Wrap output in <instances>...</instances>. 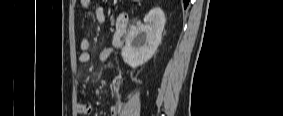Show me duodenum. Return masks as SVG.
I'll return each instance as SVG.
<instances>
[{"instance_id": "obj_1", "label": "duodenum", "mask_w": 283, "mask_h": 116, "mask_svg": "<svg viewBox=\"0 0 283 116\" xmlns=\"http://www.w3.org/2000/svg\"><path fill=\"white\" fill-rule=\"evenodd\" d=\"M129 25V16L127 13L122 12L118 15L116 21V40L115 47L120 48L123 45V38L127 33Z\"/></svg>"}]
</instances>
